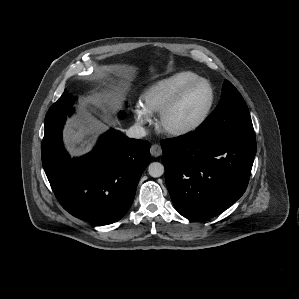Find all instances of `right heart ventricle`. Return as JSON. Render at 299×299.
<instances>
[{"mask_svg": "<svg viewBox=\"0 0 299 299\" xmlns=\"http://www.w3.org/2000/svg\"><path fill=\"white\" fill-rule=\"evenodd\" d=\"M199 79L190 71L175 73L149 86L141 95V106L151 114L161 108L186 84Z\"/></svg>", "mask_w": 299, "mask_h": 299, "instance_id": "obj_1", "label": "right heart ventricle"}]
</instances>
